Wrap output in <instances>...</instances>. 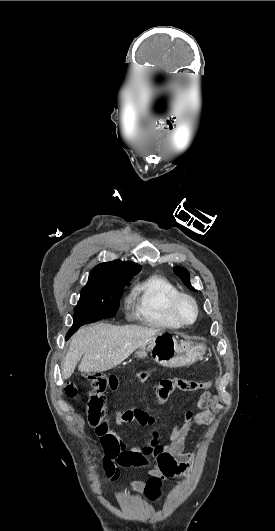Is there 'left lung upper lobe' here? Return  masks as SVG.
Masks as SVG:
<instances>
[{"instance_id": "left-lung-upper-lobe-1", "label": "left lung upper lobe", "mask_w": 275, "mask_h": 531, "mask_svg": "<svg viewBox=\"0 0 275 531\" xmlns=\"http://www.w3.org/2000/svg\"><path fill=\"white\" fill-rule=\"evenodd\" d=\"M174 272H175L176 275H178L181 278L183 283L188 288H190L191 290L195 291V289L190 284V275H189V273L187 272L186 269L177 266V267L174 268Z\"/></svg>"}]
</instances>
